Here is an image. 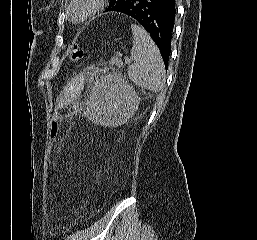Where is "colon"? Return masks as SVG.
<instances>
[{
	"label": "colon",
	"mask_w": 257,
	"mask_h": 240,
	"mask_svg": "<svg viewBox=\"0 0 257 240\" xmlns=\"http://www.w3.org/2000/svg\"><path fill=\"white\" fill-rule=\"evenodd\" d=\"M83 51L79 46H74L70 51V60L77 62L82 58ZM61 130V116L58 112H55L51 119V124L49 126V138L55 140Z\"/></svg>",
	"instance_id": "colon-1"
}]
</instances>
